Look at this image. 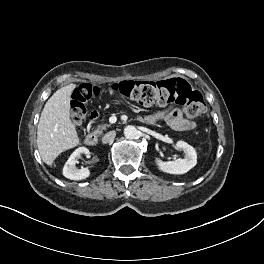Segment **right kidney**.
<instances>
[{
	"label": "right kidney",
	"mask_w": 264,
	"mask_h": 264,
	"mask_svg": "<svg viewBox=\"0 0 264 264\" xmlns=\"http://www.w3.org/2000/svg\"><path fill=\"white\" fill-rule=\"evenodd\" d=\"M82 154L89 156V149L86 147H79L70 155L63 167V175L66 178L71 180H82L90 176V171L88 168L76 167L78 159L81 158Z\"/></svg>",
	"instance_id": "obj_1"
}]
</instances>
